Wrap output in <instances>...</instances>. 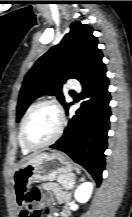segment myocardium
Here are the masks:
<instances>
[{"label":"myocardium","mask_w":132,"mask_h":217,"mask_svg":"<svg viewBox=\"0 0 132 217\" xmlns=\"http://www.w3.org/2000/svg\"><path fill=\"white\" fill-rule=\"evenodd\" d=\"M43 106H51L56 110V112L59 115V126H58L56 134L53 136L52 139H50L49 141H47L45 143L34 145V144H31L27 140L26 129H27V125H28L31 117L33 116V114L39 108H41ZM64 126H65V118H64L63 111H62L61 107L59 106V104L56 101L51 100V99L40 101V102H38L32 106V108L30 109V111L28 112V114L26 115V117L22 123L21 132H20L21 142L24 145V147H26L29 150H39V149L46 148L48 146L53 145L55 142H57L60 139V137L62 136L63 131H64Z\"/></svg>","instance_id":"f54148a6"}]
</instances>
